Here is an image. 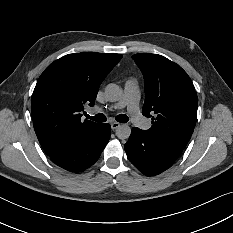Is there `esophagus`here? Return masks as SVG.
I'll list each match as a JSON object with an SVG mask.
<instances>
[{
    "mask_svg": "<svg viewBox=\"0 0 233 233\" xmlns=\"http://www.w3.org/2000/svg\"><path fill=\"white\" fill-rule=\"evenodd\" d=\"M118 127H120V123L119 122H112L111 123V128L113 130H116Z\"/></svg>",
    "mask_w": 233,
    "mask_h": 233,
    "instance_id": "1",
    "label": "esophagus"
}]
</instances>
